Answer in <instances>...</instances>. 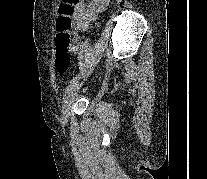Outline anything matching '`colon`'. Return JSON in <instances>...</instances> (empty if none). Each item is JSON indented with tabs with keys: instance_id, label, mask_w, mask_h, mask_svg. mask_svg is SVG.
<instances>
[{
	"instance_id": "1",
	"label": "colon",
	"mask_w": 207,
	"mask_h": 179,
	"mask_svg": "<svg viewBox=\"0 0 207 179\" xmlns=\"http://www.w3.org/2000/svg\"><path fill=\"white\" fill-rule=\"evenodd\" d=\"M80 0H62L59 6V16L56 21V70L64 74L70 68L69 50H71L73 36L71 34L73 21L72 16Z\"/></svg>"
}]
</instances>
